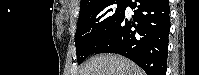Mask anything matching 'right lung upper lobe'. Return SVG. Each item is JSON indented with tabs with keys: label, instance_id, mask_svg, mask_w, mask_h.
Instances as JSON below:
<instances>
[{
	"label": "right lung upper lobe",
	"instance_id": "1",
	"mask_svg": "<svg viewBox=\"0 0 199 75\" xmlns=\"http://www.w3.org/2000/svg\"><path fill=\"white\" fill-rule=\"evenodd\" d=\"M106 0H81L80 12L86 11Z\"/></svg>",
	"mask_w": 199,
	"mask_h": 75
}]
</instances>
